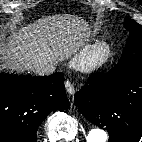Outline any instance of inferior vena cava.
<instances>
[{
    "label": "inferior vena cava",
    "instance_id": "602c4592",
    "mask_svg": "<svg viewBox=\"0 0 142 142\" xmlns=\"http://www.w3.org/2000/svg\"><path fill=\"white\" fill-rule=\"evenodd\" d=\"M55 65L53 61L42 62L33 67V72L40 76L49 75L55 71Z\"/></svg>",
    "mask_w": 142,
    "mask_h": 142
}]
</instances>
